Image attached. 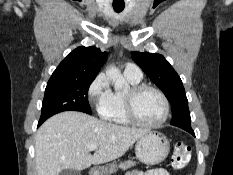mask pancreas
Returning <instances> with one entry per match:
<instances>
[{"mask_svg": "<svg viewBox=\"0 0 233 175\" xmlns=\"http://www.w3.org/2000/svg\"><path fill=\"white\" fill-rule=\"evenodd\" d=\"M136 165V162H133L131 160H127V161H124V162H121L119 167L122 169V170H126V169H129L133 166Z\"/></svg>", "mask_w": 233, "mask_h": 175, "instance_id": "cf45deb5", "label": "pancreas"}]
</instances>
